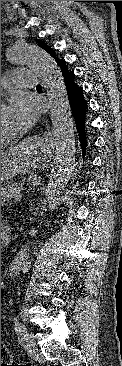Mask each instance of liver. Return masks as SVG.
I'll return each instance as SVG.
<instances>
[{
  "instance_id": "1",
  "label": "liver",
  "mask_w": 122,
  "mask_h": 366,
  "mask_svg": "<svg viewBox=\"0 0 122 366\" xmlns=\"http://www.w3.org/2000/svg\"><path fill=\"white\" fill-rule=\"evenodd\" d=\"M7 156V152H4L3 150H1V158L5 159Z\"/></svg>"
}]
</instances>
